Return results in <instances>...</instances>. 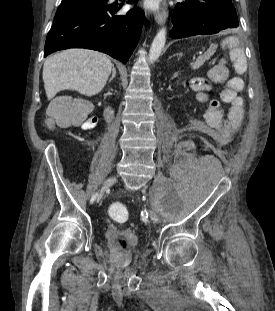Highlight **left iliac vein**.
Wrapping results in <instances>:
<instances>
[{"instance_id": "left-iliac-vein-1", "label": "left iliac vein", "mask_w": 275, "mask_h": 311, "mask_svg": "<svg viewBox=\"0 0 275 311\" xmlns=\"http://www.w3.org/2000/svg\"><path fill=\"white\" fill-rule=\"evenodd\" d=\"M149 215H150L151 220H152L154 223H157V222H158V216H157V214H156L154 211L149 210Z\"/></svg>"}]
</instances>
